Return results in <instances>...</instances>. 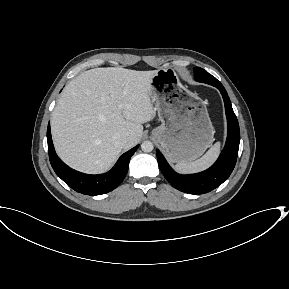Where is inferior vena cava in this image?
<instances>
[{
  "label": "inferior vena cava",
  "instance_id": "inferior-vena-cava-1",
  "mask_svg": "<svg viewBox=\"0 0 289 289\" xmlns=\"http://www.w3.org/2000/svg\"><path fill=\"white\" fill-rule=\"evenodd\" d=\"M126 142H127V137H125V136H122V137H120V138L118 139V144H119L120 146L125 145Z\"/></svg>",
  "mask_w": 289,
  "mask_h": 289
}]
</instances>
